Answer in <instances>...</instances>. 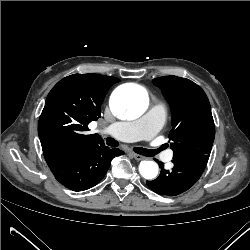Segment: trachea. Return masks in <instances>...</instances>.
I'll return each mask as SVG.
<instances>
[{"instance_id":"3493384b","label":"trachea","mask_w":250,"mask_h":250,"mask_svg":"<svg viewBox=\"0 0 250 250\" xmlns=\"http://www.w3.org/2000/svg\"><path fill=\"white\" fill-rule=\"evenodd\" d=\"M106 144L111 147H117L119 145L118 141H116L113 138H106ZM163 149L164 147H160L159 149H156V150H149V149H145L142 147L133 148V150L136 153L143 155V156H148V157L155 156L157 153H159Z\"/></svg>"}]
</instances>
